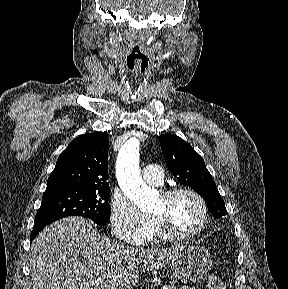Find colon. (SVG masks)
I'll list each match as a JSON object with an SVG mask.
<instances>
[{
	"label": "colon",
	"mask_w": 288,
	"mask_h": 289,
	"mask_svg": "<svg viewBox=\"0 0 288 289\" xmlns=\"http://www.w3.org/2000/svg\"><path fill=\"white\" fill-rule=\"evenodd\" d=\"M208 289H228L227 283L224 279L215 273H211L207 280Z\"/></svg>",
	"instance_id": "colon-1"
}]
</instances>
